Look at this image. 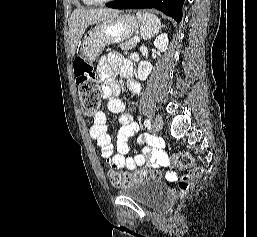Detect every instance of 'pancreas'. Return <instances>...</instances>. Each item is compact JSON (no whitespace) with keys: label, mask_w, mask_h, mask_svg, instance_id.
<instances>
[{"label":"pancreas","mask_w":257,"mask_h":237,"mask_svg":"<svg viewBox=\"0 0 257 237\" xmlns=\"http://www.w3.org/2000/svg\"><path fill=\"white\" fill-rule=\"evenodd\" d=\"M137 45V42L134 39H130L128 41L122 42L120 44V48L124 51L134 49Z\"/></svg>","instance_id":"1"}]
</instances>
